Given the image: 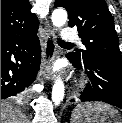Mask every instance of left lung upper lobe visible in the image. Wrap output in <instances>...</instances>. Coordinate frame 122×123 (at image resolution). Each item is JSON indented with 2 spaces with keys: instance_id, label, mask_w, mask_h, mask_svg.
<instances>
[{
  "instance_id": "1",
  "label": "left lung upper lobe",
  "mask_w": 122,
  "mask_h": 123,
  "mask_svg": "<svg viewBox=\"0 0 122 123\" xmlns=\"http://www.w3.org/2000/svg\"><path fill=\"white\" fill-rule=\"evenodd\" d=\"M69 14L68 25L77 27L86 49L71 55L80 61L107 59L122 62L113 17L105 0H56Z\"/></svg>"
}]
</instances>
